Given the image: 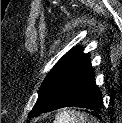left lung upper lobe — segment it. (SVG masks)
Masks as SVG:
<instances>
[{
    "label": "left lung upper lobe",
    "instance_id": "5c2ea615",
    "mask_svg": "<svg viewBox=\"0 0 122 123\" xmlns=\"http://www.w3.org/2000/svg\"><path fill=\"white\" fill-rule=\"evenodd\" d=\"M90 62L87 54L80 47L67 52L47 74L40 86L35 106L29 113L33 118L45 113L63 94L71 80Z\"/></svg>",
    "mask_w": 122,
    "mask_h": 123
}]
</instances>
